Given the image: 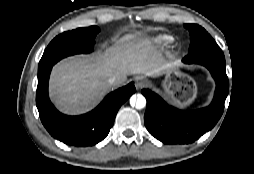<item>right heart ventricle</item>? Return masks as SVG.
<instances>
[{
  "label": "right heart ventricle",
  "instance_id": "right-heart-ventricle-1",
  "mask_svg": "<svg viewBox=\"0 0 254 174\" xmlns=\"http://www.w3.org/2000/svg\"><path fill=\"white\" fill-rule=\"evenodd\" d=\"M152 40L160 46H168L173 43V37L165 34L157 35Z\"/></svg>",
  "mask_w": 254,
  "mask_h": 174
}]
</instances>
